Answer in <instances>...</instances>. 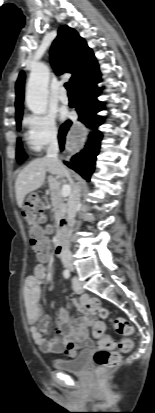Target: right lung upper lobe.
Listing matches in <instances>:
<instances>
[{"instance_id":"cb5924a9","label":"right lung upper lobe","mask_w":155,"mask_h":413,"mask_svg":"<svg viewBox=\"0 0 155 413\" xmlns=\"http://www.w3.org/2000/svg\"><path fill=\"white\" fill-rule=\"evenodd\" d=\"M57 53L61 60L57 61ZM52 66L56 73H71L70 81L75 88L86 78L99 72L93 51L85 40L72 28L64 25L58 30V36L51 48ZM24 72H21L16 82V121L22 119L24 98Z\"/></svg>"}]
</instances>
